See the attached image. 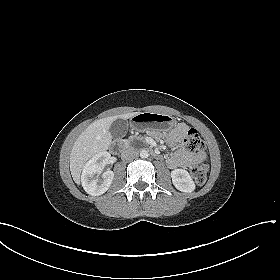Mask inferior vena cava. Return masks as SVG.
Listing matches in <instances>:
<instances>
[{"instance_id":"602c4592","label":"inferior vena cava","mask_w":280,"mask_h":280,"mask_svg":"<svg viewBox=\"0 0 280 280\" xmlns=\"http://www.w3.org/2000/svg\"><path fill=\"white\" fill-rule=\"evenodd\" d=\"M137 157H138V151L133 148L126 149L121 154V158L124 161L133 160Z\"/></svg>"}]
</instances>
